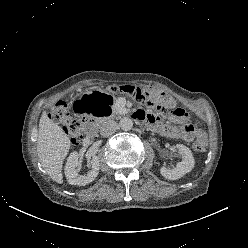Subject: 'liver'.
I'll return each instance as SVG.
<instances>
[{
	"mask_svg": "<svg viewBox=\"0 0 248 248\" xmlns=\"http://www.w3.org/2000/svg\"><path fill=\"white\" fill-rule=\"evenodd\" d=\"M70 145L68 135L43 112L39 121L37 153L46 173L59 184L63 183L62 166Z\"/></svg>",
	"mask_w": 248,
	"mask_h": 248,
	"instance_id": "liver-1",
	"label": "liver"
}]
</instances>
